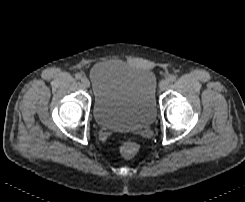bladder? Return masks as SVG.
<instances>
[{"label":"bladder","instance_id":"obj_1","mask_svg":"<svg viewBox=\"0 0 245 202\" xmlns=\"http://www.w3.org/2000/svg\"><path fill=\"white\" fill-rule=\"evenodd\" d=\"M90 78L92 114L99 127L132 131L154 122L157 79L150 69L112 61L95 65Z\"/></svg>","mask_w":245,"mask_h":202}]
</instances>
